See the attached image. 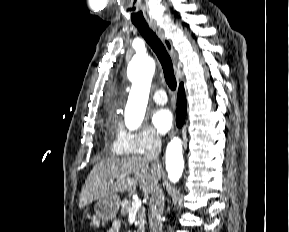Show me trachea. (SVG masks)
I'll return each mask as SVG.
<instances>
[{"label": "trachea", "mask_w": 289, "mask_h": 232, "mask_svg": "<svg viewBox=\"0 0 289 232\" xmlns=\"http://www.w3.org/2000/svg\"><path fill=\"white\" fill-rule=\"evenodd\" d=\"M139 32L142 34L146 42L157 55L164 72L165 81L171 90L176 89V78L172 60L156 33L147 24H135Z\"/></svg>", "instance_id": "trachea-1"}]
</instances>
